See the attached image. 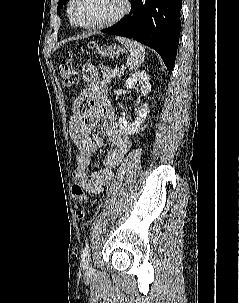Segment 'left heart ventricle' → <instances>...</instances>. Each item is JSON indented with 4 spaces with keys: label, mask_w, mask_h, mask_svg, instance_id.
Masks as SVG:
<instances>
[{
    "label": "left heart ventricle",
    "mask_w": 239,
    "mask_h": 303,
    "mask_svg": "<svg viewBox=\"0 0 239 303\" xmlns=\"http://www.w3.org/2000/svg\"><path fill=\"white\" fill-rule=\"evenodd\" d=\"M121 8V0H79L76 12L82 23L95 24L112 19Z\"/></svg>",
    "instance_id": "obj_1"
}]
</instances>
